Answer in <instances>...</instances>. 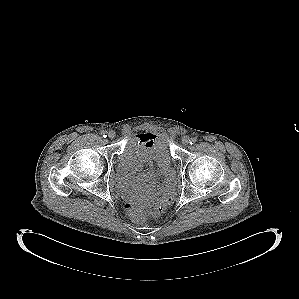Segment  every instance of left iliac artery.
Returning a JSON list of instances; mask_svg holds the SVG:
<instances>
[{"instance_id":"44dca946","label":"left iliac artery","mask_w":299,"mask_h":299,"mask_svg":"<svg viewBox=\"0 0 299 299\" xmlns=\"http://www.w3.org/2000/svg\"><path fill=\"white\" fill-rule=\"evenodd\" d=\"M196 143V138H191L190 139V144H195Z\"/></svg>"}]
</instances>
